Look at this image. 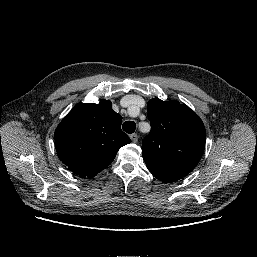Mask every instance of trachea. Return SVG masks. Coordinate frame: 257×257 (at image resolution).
I'll return each instance as SVG.
<instances>
[{
    "instance_id": "obj_1",
    "label": "trachea",
    "mask_w": 257,
    "mask_h": 257,
    "mask_svg": "<svg viewBox=\"0 0 257 257\" xmlns=\"http://www.w3.org/2000/svg\"><path fill=\"white\" fill-rule=\"evenodd\" d=\"M122 129L129 134L134 133L136 129V124L133 121H126L124 122Z\"/></svg>"
}]
</instances>
